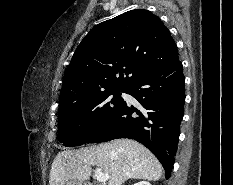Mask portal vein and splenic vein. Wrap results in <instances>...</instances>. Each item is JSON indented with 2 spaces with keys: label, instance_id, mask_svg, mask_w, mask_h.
Instances as JSON below:
<instances>
[{
  "label": "portal vein and splenic vein",
  "instance_id": "18ae733b",
  "mask_svg": "<svg viewBox=\"0 0 233 185\" xmlns=\"http://www.w3.org/2000/svg\"><path fill=\"white\" fill-rule=\"evenodd\" d=\"M95 177L98 182H106L109 179V176L104 174L99 168H96L95 170Z\"/></svg>",
  "mask_w": 233,
  "mask_h": 185
}]
</instances>
